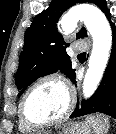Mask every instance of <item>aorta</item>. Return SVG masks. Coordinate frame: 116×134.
Returning a JSON list of instances; mask_svg holds the SVG:
<instances>
[{
  "label": "aorta",
  "instance_id": "1",
  "mask_svg": "<svg viewBox=\"0 0 116 134\" xmlns=\"http://www.w3.org/2000/svg\"><path fill=\"white\" fill-rule=\"evenodd\" d=\"M83 21L93 38V48L83 81V95L90 97L97 89L109 60L112 34L105 15L96 7L82 4L73 7L61 20L63 29H72Z\"/></svg>",
  "mask_w": 116,
  "mask_h": 134
}]
</instances>
